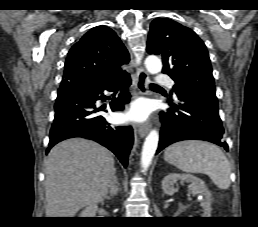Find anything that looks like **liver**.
Instances as JSON below:
<instances>
[{
    "instance_id": "1",
    "label": "liver",
    "mask_w": 258,
    "mask_h": 227,
    "mask_svg": "<svg viewBox=\"0 0 258 227\" xmlns=\"http://www.w3.org/2000/svg\"><path fill=\"white\" fill-rule=\"evenodd\" d=\"M114 158L83 138L60 142L44 162L46 217H74L84 206L101 202L114 174Z\"/></svg>"
}]
</instances>
